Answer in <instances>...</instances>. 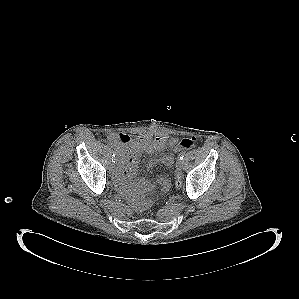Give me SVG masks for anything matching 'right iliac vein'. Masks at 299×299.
<instances>
[{"label":"right iliac vein","instance_id":"obj_1","mask_svg":"<svg viewBox=\"0 0 299 299\" xmlns=\"http://www.w3.org/2000/svg\"><path fill=\"white\" fill-rule=\"evenodd\" d=\"M110 171L111 172L113 171V164H111Z\"/></svg>","mask_w":299,"mask_h":299}]
</instances>
